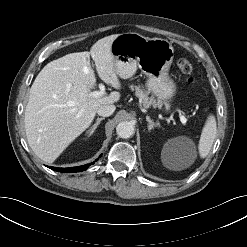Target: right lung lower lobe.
<instances>
[{
  "label": "right lung lower lobe",
  "mask_w": 247,
  "mask_h": 247,
  "mask_svg": "<svg viewBox=\"0 0 247 247\" xmlns=\"http://www.w3.org/2000/svg\"><path fill=\"white\" fill-rule=\"evenodd\" d=\"M98 160V159H97ZM96 160V161H97ZM94 163V162H93ZM91 163V164H93ZM90 163L87 165H82V166H77V167H71V168H57V167H51L52 170L54 171H59V172H66V173H72V172H81L86 170L90 165Z\"/></svg>",
  "instance_id": "1"
}]
</instances>
